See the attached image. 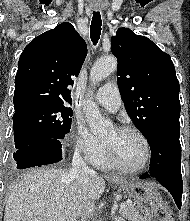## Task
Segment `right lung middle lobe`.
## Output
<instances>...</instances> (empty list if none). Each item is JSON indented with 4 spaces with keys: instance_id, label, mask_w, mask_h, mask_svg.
I'll return each instance as SVG.
<instances>
[{
    "instance_id": "1",
    "label": "right lung middle lobe",
    "mask_w": 190,
    "mask_h": 221,
    "mask_svg": "<svg viewBox=\"0 0 190 221\" xmlns=\"http://www.w3.org/2000/svg\"><path fill=\"white\" fill-rule=\"evenodd\" d=\"M73 112L64 105H37L13 115L15 148L42 139H63L71 128Z\"/></svg>"
}]
</instances>
